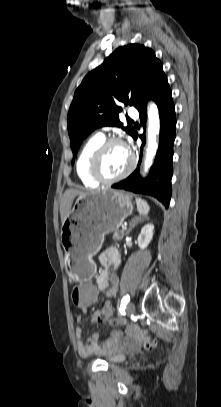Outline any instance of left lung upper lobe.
Returning <instances> with one entry per match:
<instances>
[{"label":"left lung upper lobe","instance_id":"left-lung-upper-lobe-1","mask_svg":"<svg viewBox=\"0 0 221 407\" xmlns=\"http://www.w3.org/2000/svg\"><path fill=\"white\" fill-rule=\"evenodd\" d=\"M164 77L154 51L139 44L117 48L102 65L89 72L76 89L68 112L73 156L89 133L101 126L121 127L133 137L135 129L123 127L119 120L120 103L139 110Z\"/></svg>","mask_w":221,"mask_h":407}]
</instances>
